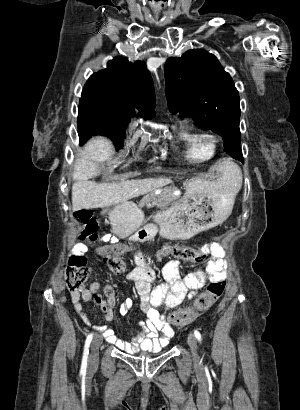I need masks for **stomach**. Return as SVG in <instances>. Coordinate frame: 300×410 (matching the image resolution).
<instances>
[{
    "label": "stomach",
    "instance_id": "obj_1",
    "mask_svg": "<svg viewBox=\"0 0 300 410\" xmlns=\"http://www.w3.org/2000/svg\"><path fill=\"white\" fill-rule=\"evenodd\" d=\"M234 199L228 175L222 173L213 181L193 178L180 201L153 218L162 237L185 240L224 222L232 212ZM102 214L108 215L113 233L120 238L129 236L145 222L142 210L131 201L116 204Z\"/></svg>",
    "mask_w": 300,
    "mask_h": 410
}]
</instances>
